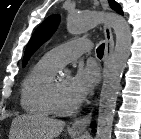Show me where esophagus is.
Returning <instances> with one entry per match:
<instances>
[{
  "label": "esophagus",
  "instance_id": "obj_1",
  "mask_svg": "<svg viewBox=\"0 0 141 139\" xmlns=\"http://www.w3.org/2000/svg\"><path fill=\"white\" fill-rule=\"evenodd\" d=\"M100 3L104 10H109V4L107 0H100ZM105 35V52H104V65H103V77L106 76L108 67L110 65L111 57L114 50V39L110 26L105 24L104 26ZM92 120V111L82 118L74 121L71 128L77 132H85Z\"/></svg>",
  "mask_w": 141,
  "mask_h": 139
}]
</instances>
